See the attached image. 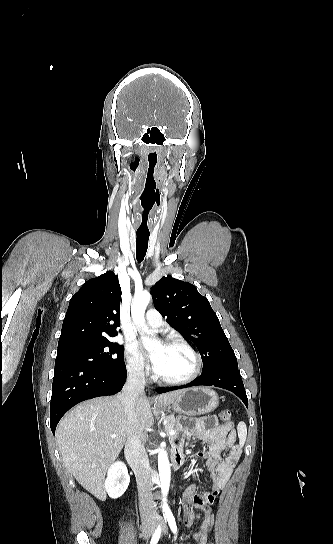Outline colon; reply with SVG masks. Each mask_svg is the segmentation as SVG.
<instances>
[{"label":"colon","mask_w":333,"mask_h":544,"mask_svg":"<svg viewBox=\"0 0 333 544\" xmlns=\"http://www.w3.org/2000/svg\"><path fill=\"white\" fill-rule=\"evenodd\" d=\"M220 420L224 423H227L231 420L232 417V411L230 409H223L219 414ZM215 499H213L214 502ZM209 544H213L210 542Z\"/></svg>","instance_id":"5ec220e1"}]
</instances>
